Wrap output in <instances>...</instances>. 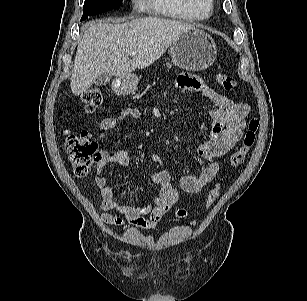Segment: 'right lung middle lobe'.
I'll return each instance as SVG.
<instances>
[{
    "label": "right lung middle lobe",
    "instance_id": "right-lung-middle-lobe-1",
    "mask_svg": "<svg viewBox=\"0 0 307 301\" xmlns=\"http://www.w3.org/2000/svg\"><path fill=\"white\" fill-rule=\"evenodd\" d=\"M121 4L122 0H85L81 21L87 19L88 16L119 7Z\"/></svg>",
    "mask_w": 307,
    "mask_h": 301
}]
</instances>
